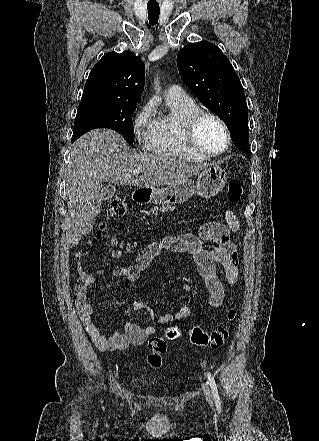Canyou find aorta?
<instances>
[{"label": "aorta", "mask_w": 319, "mask_h": 441, "mask_svg": "<svg viewBox=\"0 0 319 441\" xmlns=\"http://www.w3.org/2000/svg\"><path fill=\"white\" fill-rule=\"evenodd\" d=\"M157 85H158V82H156V87H157L156 89L159 91V86H157Z\"/></svg>", "instance_id": "1"}]
</instances>
